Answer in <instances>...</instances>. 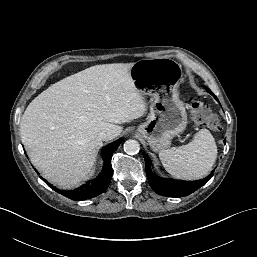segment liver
Here are the masks:
<instances>
[{"instance_id":"1","label":"liver","mask_w":257,"mask_h":257,"mask_svg":"<svg viewBox=\"0 0 257 257\" xmlns=\"http://www.w3.org/2000/svg\"><path fill=\"white\" fill-rule=\"evenodd\" d=\"M133 63L96 65L68 76L39 94L20 123L31 163L60 188L77 186L92 172L102 146L99 134L118 136L142 117L147 104L130 76Z\"/></svg>"}]
</instances>
